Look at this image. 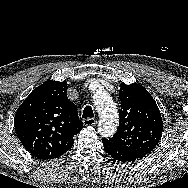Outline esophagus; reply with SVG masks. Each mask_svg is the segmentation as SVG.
I'll use <instances>...</instances> for the list:
<instances>
[{"label":"esophagus","mask_w":188,"mask_h":188,"mask_svg":"<svg viewBox=\"0 0 188 188\" xmlns=\"http://www.w3.org/2000/svg\"><path fill=\"white\" fill-rule=\"evenodd\" d=\"M85 126H95L97 124V119L95 118H86L83 120Z\"/></svg>","instance_id":"34e87169"}]
</instances>
